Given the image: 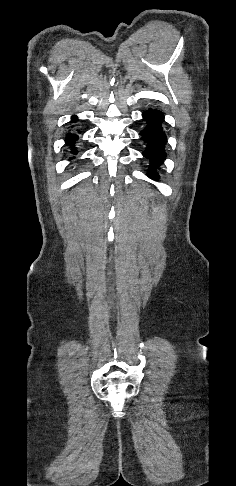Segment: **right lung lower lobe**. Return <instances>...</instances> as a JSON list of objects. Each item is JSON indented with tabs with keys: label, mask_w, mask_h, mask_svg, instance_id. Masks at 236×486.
I'll use <instances>...</instances> for the list:
<instances>
[{
	"label": "right lung lower lobe",
	"mask_w": 236,
	"mask_h": 486,
	"mask_svg": "<svg viewBox=\"0 0 236 486\" xmlns=\"http://www.w3.org/2000/svg\"><path fill=\"white\" fill-rule=\"evenodd\" d=\"M74 121H77V117H76V116H72V118H71V122H74ZM78 133H79V132H78ZM78 138H79L78 134H74V133H70V132H69V133L66 135L65 142H66V144H67L68 146H70V148H71V151H70V152H71L72 154H77V153H78V152H77V150H76V149H75V147H74V144H75V142L78 140ZM73 158H74V157H70V159H73Z\"/></svg>",
	"instance_id": "1"
}]
</instances>
